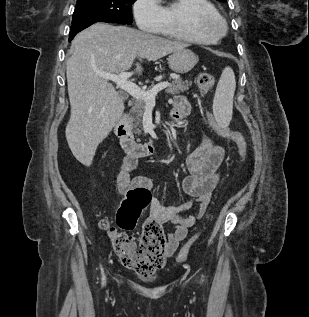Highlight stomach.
<instances>
[{"mask_svg":"<svg viewBox=\"0 0 309 317\" xmlns=\"http://www.w3.org/2000/svg\"><path fill=\"white\" fill-rule=\"evenodd\" d=\"M198 62V57L189 49H180L173 52L168 58V64L172 71L180 74L189 72Z\"/></svg>","mask_w":309,"mask_h":317,"instance_id":"0dacf381","label":"stomach"}]
</instances>
